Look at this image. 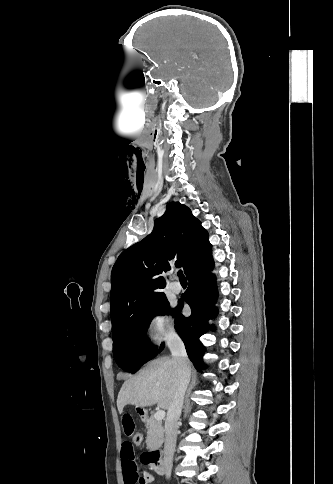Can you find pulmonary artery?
Listing matches in <instances>:
<instances>
[{
    "label": "pulmonary artery",
    "instance_id": "e3ab8cb5",
    "mask_svg": "<svg viewBox=\"0 0 333 484\" xmlns=\"http://www.w3.org/2000/svg\"><path fill=\"white\" fill-rule=\"evenodd\" d=\"M170 288L171 290L176 293V294H179L182 292L183 288H182V285L180 284L179 281H173L171 284H170Z\"/></svg>",
    "mask_w": 333,
    "mask_h": 484
}]
</instances>
